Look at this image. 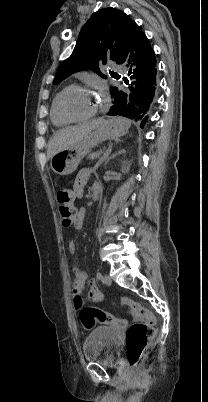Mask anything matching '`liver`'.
<instances>
[{
  "mask_svg": "<svg viewBox=\"0 0 208 402\" xmlns=\"http://www.w3.org/2000/svg\"><path fill=\"white\" fill-rule=\"evenodd\" d=\"M105 120L99 118V120H92L87 124H80V126H71V128H64L55 132L52 140L48 144L47 158L50 160L54 154H58L61 150L73 146L76 142H81L83 138H88L92 130H96L100 124H103Z\"/></svg>",
  "mask_w": 208,
  "mask_h": 402,
  "instance_id": "6515ba94",
  "label": "liver"
}]
</instances>
